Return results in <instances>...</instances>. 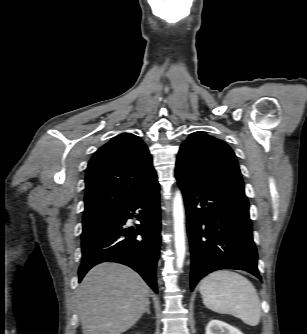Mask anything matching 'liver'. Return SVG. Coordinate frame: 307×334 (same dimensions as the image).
<instances>
[{
    "mask_svg": "<svg viewBox=\"0 0 307 334\" xmlns=\"http://www.w3.org/2000/svg\"><path fill=\"white\" fill-rule=\"evenodd\" d=\"M77 303L83 334H121L142 316L149 287L131 268L104 262L82 280Z\"/></svg>",
    "mask_w": 307,
    "mask_h": 334,
    "instance_id": "obj_1",
    "label": "liver"
}]
</instances>
